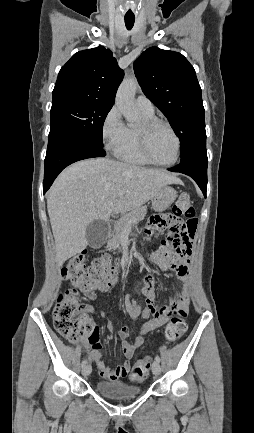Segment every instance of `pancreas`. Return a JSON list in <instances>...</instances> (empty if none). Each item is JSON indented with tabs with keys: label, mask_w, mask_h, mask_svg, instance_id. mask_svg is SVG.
<instances>
[{
	"label": "pancreas",
	"mask_w": 254,
	"mask_h": 433,
	"mask_svg": "<svg viewBox=\"0 0 254 433\" xmlns=\"http://www.w3.org/2000/svg\"><path fill=\"white\" fill-rule=\"evenodd\" d=\"M147 213V208L145 206H139L121 216V218L116 222L114 226V234L112 238L108 241L109 247H118L124 231L132 226L142 221ZM129 220H132L129 222Z\"/></svg>",
	"instance_id": "1"
}]
</instances>
